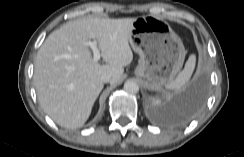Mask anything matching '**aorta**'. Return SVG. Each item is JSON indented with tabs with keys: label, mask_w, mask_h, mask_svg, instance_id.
I'll use <instances>...</instances> for the list:
<instances>
[{
	"label": "aorta",
	"mask_w": 244,
	"mask_h": 157,
	"mask_svg": "<svg viewBox=\"0 0 244 157\" xmlns=\"http://www.w3.org/2000/svg\"><path fill=\"white\" fill-rule=\"evenodd\" d=\"M124 90L132 94L137 93L139 91V85L133 80H128L124 84Z\"/></svg>",
	"instance_id": "1"
}]
</instances>
